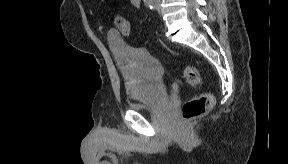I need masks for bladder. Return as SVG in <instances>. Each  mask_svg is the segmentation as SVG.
<instances>
[{"instance_id": "31cf9c89", "label": "bladder", "mask_w": 288, "mask_h": 164, "mask_svg": "<svg viewBox=\"0 0 288 164\" xmlns=\"http://www.w3.org/2000/svg\"><path fill=\"white\" fill-rule=\"evenodd\" d=\"M109 44L126 82L129 108L139 113H152L167 105L170 96L157 59L129 46L116 35L110 36Z\"/></svg>"}]
</instances>
